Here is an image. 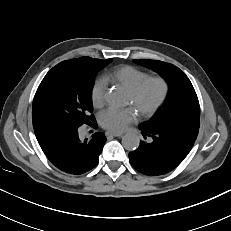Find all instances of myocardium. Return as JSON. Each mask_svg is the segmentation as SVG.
Wrapping results in <instances>:
<instances>
[{"label": "myocardium", "instance_id": "obj_1", "mask_svg": "<svg viewBox=\"0 0 231 231\" xmlns=\"http://www.w3.org/2000/svg\"><path fill=\"white\" fill-rule=\"evenodd\" d=\"M152 82H158L162 86V93L159 97V99L149 108L141 110L139 113L142 117L147 118L152 116L166 101L169 93H170V84L166 78L163 76H148L144 80H142L140 83H138L134 88L129 90V94L134 98L137 99L139 95L142 93V91L145 89V87L152 83Z\"/></svg>", "mask_w": 231, "mask_h": 231}]
</instances>
